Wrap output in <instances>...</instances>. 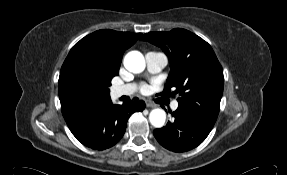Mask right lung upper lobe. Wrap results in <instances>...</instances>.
<instances>
[{
    "mask_svg": "<svg viewBox=\"0 0 287 175\" xmlns=\"http://www.w3.org/2000/svg\"><path fill=\"white\" fill-rule=\"evenodd\" d=\"M141 36V33L118 32L110 29L91 33L76 43L66 57L59 77V98L72 66L80 57H86L95 72L110 80L118 75L123 53ZM62 109V105H61ZM64 118L73 116L62 110Z\"/></svg>",
    "mask_w": 287,
    "mask_h": 175,
    "instance_id": "1",
    "label": "right lung upper lobe"
}]
</instances>
